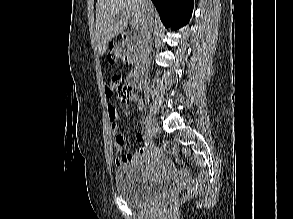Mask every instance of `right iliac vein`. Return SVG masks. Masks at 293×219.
<instances>
[{"instance_id": "63e3f726", "label": "right iliac vein", "mask_w": 293, "mask_h": 219, "mask_svg": "<svg viewBox=\"0 0 293 219\" xmlns=\"http://www.w3.org/2000/svg\"><path fill=\"white\" fill-rule=\"evenodd\" d=\"M146 126L148 127L151 133L157 132L159 128L156 120L151 115H147L146 117Z\"/></svg>"}]
</instances>
